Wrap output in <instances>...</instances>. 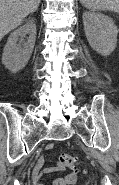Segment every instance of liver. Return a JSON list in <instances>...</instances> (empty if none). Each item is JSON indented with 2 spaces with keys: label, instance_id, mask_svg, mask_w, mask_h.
Segmentation results:
<instances>
[{
  "label": "liver",
  "instance_id": "1",
  "mask_svg": "<svg viewBox=\"0 0 119 185\" xmlns=\"http://www.w3.org/2000/svg\"><path fill=\"white\" fill-rule=\"evenodd\" d=\"M39 4L40 0H0V41L20 26L27 15L35 12Z\"/></svg>",
  "mask_w": 119,
  "mask_h": 185
}]
</instances>
